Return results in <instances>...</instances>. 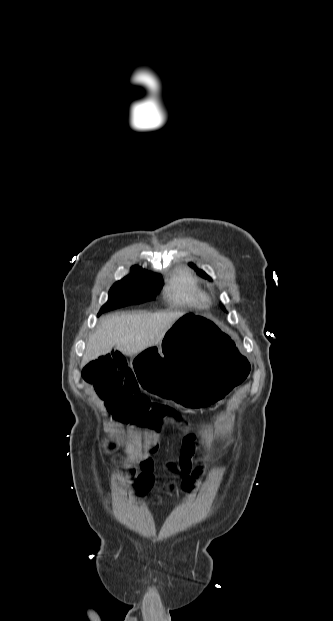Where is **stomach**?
<instances>
[{
  "mask_svg": "<svg viewBox=\"0 0 333 621\" xmlns=\"http://www.w3.org/2000/svg\"><path fill=\"white\" fill-rule=\"evenodd\" d=\"M248 359L228 328L194 312L179 318L159 344L148 341L132 368L147 396L168 398L179 410L213 412L218 399L228 400L244 384Z\"/></svg>",
  "mask_w": 333,
  "mask_h": 621,
  "instance_id": "0dacf381",
  "label": "stomach"
}]
</instances>
